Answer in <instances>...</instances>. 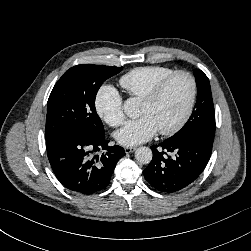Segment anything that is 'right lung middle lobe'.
I'll list each match as a JSON object with an SVG mask.
<instances>
[{
    "mask_svg": "<svg viewBox=\"0 0 251 251\" xmlns=\"http://www.w3.org/2000/svg\"><path fill=\"white\" fill-rule=\"evenodd\" d=\"M122 67L77 65L68 69L55 84L47 103L45 138L68 129H80L103 136V124L95 109L102 83Z\"/></svg>",
    "mask_w": 251,
    "mask_h": 251,
    "instance_id": "dd1d6c3e",
    "label": "right lung middle lobe"
}]
</instances>
